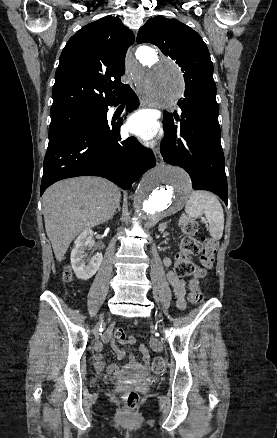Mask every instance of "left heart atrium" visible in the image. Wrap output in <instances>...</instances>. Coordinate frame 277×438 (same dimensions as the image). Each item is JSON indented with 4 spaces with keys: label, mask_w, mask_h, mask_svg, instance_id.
<instances>
[{
    "label": "left heart atrium",
    "mask_w": 277,
    "mask_h": 438,
    "mask_svg": "<svg viewBox=\"0 0 277 438\" xmlns=\"http://www.w3.org/2000/svg\"><path fill=\"white\" fill-rule=\"evenodd\" d=\"M127 126L142 139L152 137L157 130V125L153 119L152 113L147 110L138 111L133 114L130 117Z\"/></svg>",
    "instance_id": "39dd6f15"
}]
</instances>
